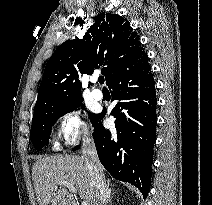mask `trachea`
I'll return each mask as SVG.
<instances>
[{"label":"trachea","instance_id":"obj_1","mask_svg":"<svg viewBox=\"0 0 212 205\" xmlns=\"http://www.w3.org/2000/svg\"><path fill=\"white\" fill-rule=\"evenodd\" d=\"M98 81H99L100 84H103L104 83V77L103 76H100L98 78Z\"/></svg>","mask_w":212,"mask_h":205}]
</instances>
